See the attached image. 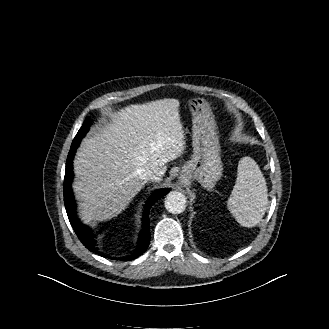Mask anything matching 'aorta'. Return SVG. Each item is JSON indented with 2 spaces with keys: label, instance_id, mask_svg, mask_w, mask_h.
<instances>
[{
  "label": "aorta",
  "instance_id": "aorta-1",
  "mask_svg": "<svg viewBox=\"0 0 329 329\" xmlns=\"http://www.w3.org/2000/svg\"><path fill=\"white\" fill-rule=\"evenodd\" d=\"M165 208L172 214H180L186 208V197L181 192L172 191L165 198Z\"/></svg>",
  "mask_w": 329,
  "mask_h": 329
}]
</instances>
